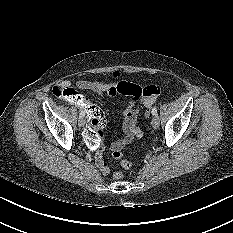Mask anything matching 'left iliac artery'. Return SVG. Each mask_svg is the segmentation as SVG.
Segmentation results:
<instances>
[{"label": "left iliac artery", "instance_id": "44dca946", "mask_svg": "<svg viewBox=\"0 0 233 233\" xmlns=\"http://www.w3.org/2000/svg\"><path fill=\"white\" fill-rule=\"evenodd\" d=\"M152 114H153V115H157V108H156V107H154V108L152 109Z\"/></svg>", "mask_w": 233, "mask_h": 233}]
</instances>
